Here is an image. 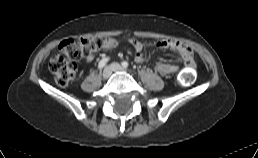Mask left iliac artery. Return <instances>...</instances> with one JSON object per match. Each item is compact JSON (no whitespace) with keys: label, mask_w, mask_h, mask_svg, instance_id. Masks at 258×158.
Segmentation results:
<instances>
[{"label":"left iliac artery","mask_w":258,"mask_h":158,"mask_svg":"<svg viewBox=\"0 0 258 158\" xmlns=\"http://www.w3.org/2000/svg\"><path fill=\"white\" fill-rule=\"evenodd\" d=\"M128 62L127 61H124V62H122V66L124 67V68H127L128 67Z\"/></svg>","instance_id":"1"}]
</instances>
